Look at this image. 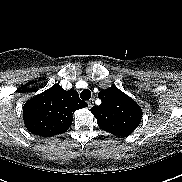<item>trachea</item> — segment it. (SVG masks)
Here are the masks:
<instances>
[{"mask_svg": "<svg viewBox=\"0 0 182 182\" xmlns=\"http://www.w3.org/2000/svg\"><path fill=\"white\" fill-rule=\"evenodd\" d=\"M80 97L82 100H89L91 98V91L88 89H84L81 92Z\"/></svg>", "mask_w": 182, "mask_h": 182, "instance_id": "1", "label": "trachea"}]
</instances>
